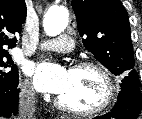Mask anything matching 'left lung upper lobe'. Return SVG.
Returning <instances> with one entry per match:
<instances>
[{"instance_id": "obj_1", "label": "left lung upper lobe", "mask_w": 142, "mask_h": 119, "mask_svg": "<svg viewBox=\"0 0 142 119\" xmlns=\"http://www.w3.org/2000/svg\"><path fill=\"white\" fill-rule=\"evenodd\" d=\"M86 49L121 80V89L141 87L134 68L128 14L120 0H72Z\"/></svg>"}]
</instances>
